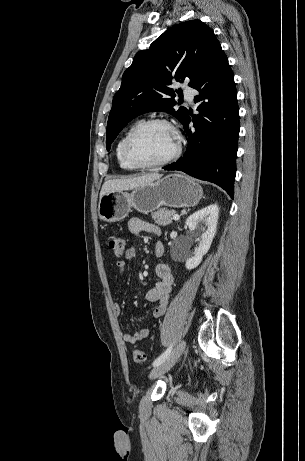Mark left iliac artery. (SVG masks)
Returning <instances> with one entry per match:
<instances>
[{"instance_id":"44dca946","label":"left iliac artery","mask_w":305,"mask_h":461,"mask_svg":"<svg viewBox=\"0 0 305 461\" xmlns=\"http://www.w3.org/2000/svg\"><path fill=\"white\" fill-rule=\"evenodd\" d=\"M171 350H172V345L153 362V366L156 367L159 364H161L171 353Z\"/></svg>"}]
</instances>
